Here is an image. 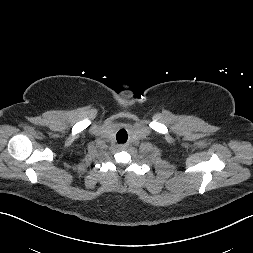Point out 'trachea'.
I'll use <instances>...</instances> for the list:
<instances>
[{
    "mask_svg": "<svg viewBox=\"0 0 253 253\" xmlns=\"http://www.w3.org/2000/svg\"><path fill=\"white\" fill-rule=\"evenodd\" d=\"M116 138H117V141H118L119 143L126 142V140H127V133H126V131H125V130H120V131L117 133Z\"/></svg>",
    "mask_w": 253,
    "mask_h": 253,
    "instance_id": "obj_1",
    "label": "trachea"
}]
</instances>
